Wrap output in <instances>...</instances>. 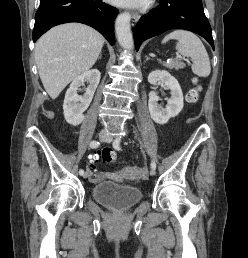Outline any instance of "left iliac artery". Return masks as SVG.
<instances>
[{
	"instance_id": "left-iliac-artery-1",
	"label": "left iliac artery",
	"mask_w": 248,
	"mask_h": 258,
	"mask_svg": "<svg viewBox=\"0 0 248 258\" xmlns=\"http://www.w3.org/2000/svg\"><path fill=\"white\" fill-rule=\"evenodd\" d=\"M120 142H121V137H117L113 143V147L116 150H120ZM151 169H156V163L154 161H151Z\"/></svg>"
}]
</instances>
